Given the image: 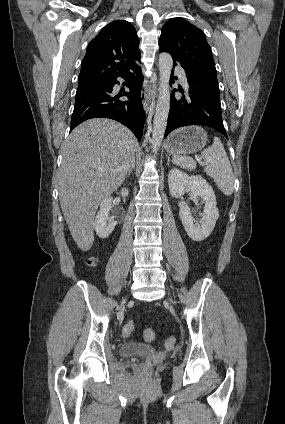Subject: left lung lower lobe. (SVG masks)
<instances>
[{
	"label": "left lung lower lobe",
	"mask_w": 285,
	"mask_h": 424,
	"mask_svg": "<svg viewBox=\"0 0 285 424\" xmlns=\"http://www.w3.org/2000/svg\"><path fill=\"white\" fill-rule=\"evenodd\" d=\"M160 52L163 51L160 50ZM185 72L190 86L188 96L176 98L174 95L176 89L171 94L165 137L179 127L205 125L218 130L227 138L221 115L216 69L209 66H198L185 69ZM173 82L171 79L170 83ZM179 91L183 92L180 89Z\"/></svg>",
	"instance_id": "left-lung-lower-lobe-1"
}]
</instances>
